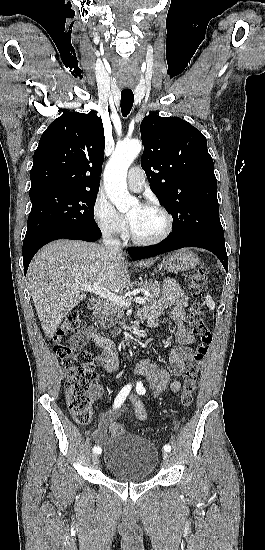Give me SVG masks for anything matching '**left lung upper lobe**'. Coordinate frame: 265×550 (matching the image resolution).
Masks as SVG:
<instances>
[{
	"mask_svg": "<svg viewBox=\"0 0 265 550\" xmlns=\"http://www.w3.org/2000/svg\"><path fill=\"white\" fill-rule=\"evenodd\" d=\"M141 166L150 188L173 217L170 238L201 235L224 242L217 180L205 136L178 117L150 113L140 128Z\"/></svg>",
	"mask_w": 265,
	"mask_h": 550,
	"instance_id": "obj_1",
	"label": "left lung upper lobe"
}]
</instances>
